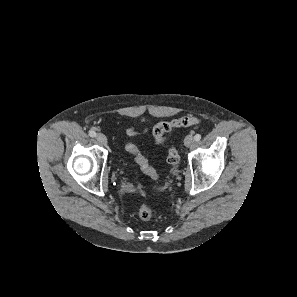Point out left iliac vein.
Masks as SVG:
<instances>
[{
	"label": "left iliac vein",
	"mask_w": 297,
	"mask_h": 297,
	"mask_svg": "<svg viewBox=\"0 0 297 297\" xmlns=\"http://www.w3.org/2000/svg\"><path fill=\"white\" fill-rule=\"evenodd\" d=\"M194 137L192 135H187L184 139V144L186 147H191L194 145Z\"/></svg>",
	"instance_id": "left-iliac-vein-1"
}]
</instances>
